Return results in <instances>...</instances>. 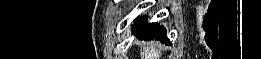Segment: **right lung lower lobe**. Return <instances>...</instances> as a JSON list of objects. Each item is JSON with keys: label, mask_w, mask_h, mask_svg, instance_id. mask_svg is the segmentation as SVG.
Listing matches in <instances>:
<instances>
[{"label": "right lung lower lobe", "mask_w": 261, "mask_h": 59, "mask_svg": "<svg viewBox=\"0 0 261 59\" xmlns=\"http://www.w3.org/2000/svg\"><path fill=\"white\" fill-rule=\"evenodd\" d=\"M146 19L138 18L133 26L132 33L139 39L143 40H159L165 44H170L169 39L166 37V30L163 26H158L157 23L146 24Z\"/></svg>", "instance_id": "obj_1"}]
</instances>
